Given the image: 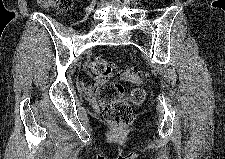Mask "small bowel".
<instances>
[{
    "label": "small bowel",
    "instance_id": "small-bowel-1",
    "mask_svg": "<svg viewBox=\"0 0 225 159\" xmlns=\"http://www.w3.org/2000/svg\"><path fill=\"white\" fill-rule=\"evenodd\" d=\"M89 68H91V65H87ZM80 87L83 91H85L87 94L92 95L97 90L98 84L88 85L84 81L80 82Z\"/></svg>",
    "mask_w": 225,
    "mask_h": 159
}]
</instances>
